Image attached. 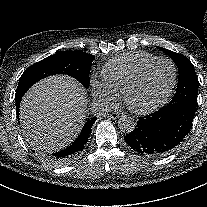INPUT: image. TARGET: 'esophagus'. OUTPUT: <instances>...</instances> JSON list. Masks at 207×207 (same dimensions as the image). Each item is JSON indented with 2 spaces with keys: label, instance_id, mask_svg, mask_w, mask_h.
<instances>
[{
  "label": "esophagus",
  "instance_id": "34e87169",
  "mask_svg": "<svg viewBox=\"0 0 207 207\" xmlns=\"http://www.w3.org/2000/svg\"><path fill=\"white\" fill-rule=\"evenodd\" d=\"M122 115L121 112L119 111H113L109 114V117L112 118V119H117L119 118L120 116Z\"/></svg>",
  "mask_w": 207,
  "mask_h": 207
}]
</instances>
